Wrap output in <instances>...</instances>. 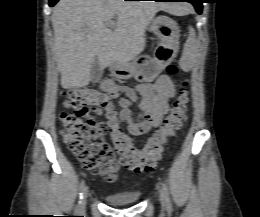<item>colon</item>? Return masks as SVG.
Segmentation results:
<instances>
[{"label": "colon", "instance_id": "1", "mask_svg": "<svg viewBox=\"0 0 260 217\" xmlns=\"http://www.w3.org/2000/svg\"><path fill=\"white\" fill-rule=\"evenodd\" d=\"M177 71L173 64L167 67L169 75H175ZM64 95L65 105L73 112L61 114L62 138L86 170L107 181L116 178L121 166L137 172L153 170L167 141L181 128L188 114L189 98L184 83L178 99L159 128L142 148H136L120 126L106 93L77 88L69 89ZM98 109L105 111L106 123L94 119L93 113ZM107 132H110L113 144L107 140Z\"/></svg>", "mask_w": 260, "mask_h": 217}]
</instances>
